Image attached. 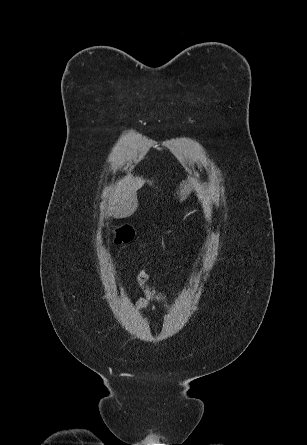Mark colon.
Masks as SVG:
<instances>
[{
  "instance_id": "1",
  "label": "colon",
  "mask_w": 307,
  "mask_h": 445,
  "mask_svg": "<svg viewBox=\"0 0 307 445\" xmlns=\"http://www.w3.org/2000/svg\"><path fill=\"white\" fill-rule=\"evenodd\" d=\"M134 230L129 225H122L116 230L114 242L116 244L127 243L133 239Z\"/></svg>"
}]
</instances>
